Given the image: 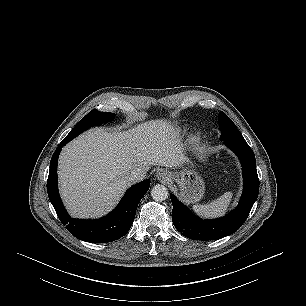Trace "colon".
<instances>
[{"instance_id":"5ec220e1","label":"colon","mask_w":306,"mask_h":306,"mask_svg":"<svg viewBox=\"0 0 306 306\" xmlns=\"http://www.w3.org/2000/svg\"><path fill=\"white\" fill-rule=\"evenodd\" d=\"M220 162H221V163H225V161H224V160H220Z\"/></svg>"}]
</instances>
